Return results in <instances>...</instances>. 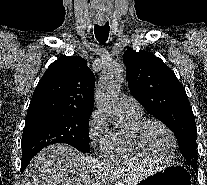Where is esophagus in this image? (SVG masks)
Instances as JSON below:
<instances>
[{"label":"esophagus","instance_id":"obj_1","mask_svg":"<svg viewBox=\"0 0 207 185\" xmlns=\"http://www.w3.org/2000/svg\"><path fill=\"white\" fill-rule=\"evenodd\" d=\"M97 14H104V9H97ZM97 20H104V15H97Z\"/></svg>","mask_w":207,"mask_h":185}]
</instances>
